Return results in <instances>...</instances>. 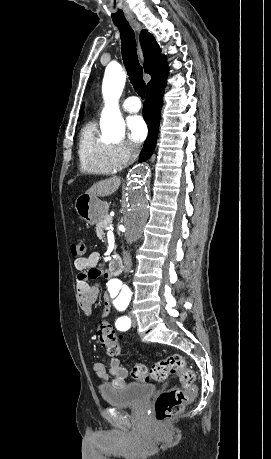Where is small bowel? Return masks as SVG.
Wrapping results in <instances>:
<instances>
[{
  "instance_id": "obj_1",
  "label": "small bowel",
  "mask_w": 271,
  "mask_h": 459,
  "mask_svg": "<svg viewBox=\"0 0 271 459\" xmlns=\"http://www.w3.org/2000/svg\"><path fill=\"white\" fill-rule=\"evenodd\" d=\"M100 261V254L92 252L87 257L78 258L74 262L77 275V293L80 309L85 318H90L92 315L93 306L96 303L99 295V290L96 285H91L89 281L97 280L104 275V272L97 266ZM111 310V302L108 297L104 299L103 311L101 318H106ZM94 371L101 382V387L119 388L126 384L128 376L127 368L121 364L120 360L113 358L110 368H107L103 363H96Z\"/></svg>"
}]
</instances>
